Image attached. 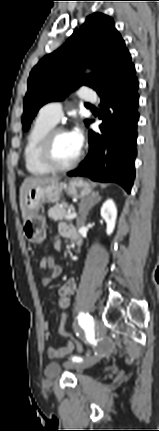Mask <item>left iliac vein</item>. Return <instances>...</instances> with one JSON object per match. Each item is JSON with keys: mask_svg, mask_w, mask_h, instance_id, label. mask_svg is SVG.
<instances>
[{"mask_svg": "<svg viewBox=\"0 0 159 431\" xmlns=\"http://www.w3.org/2000/svg\"><path fill=\"white\" fill-rule=\"evenodd\" d=\"M97 324L99 325L98 321H97ZM104 334H105L104 329L100 328L98 330V335L103 336ZM101 357H102L101 355H91V356L87 357L84 361L77 363L76 366L80 369L91 367L94 364H96L101 359Z\"/></svg>", "mask_w": 159, "mask_h": 431, "instance_id": "obj_1", "label": "left iliac vein"}]
</instances>
